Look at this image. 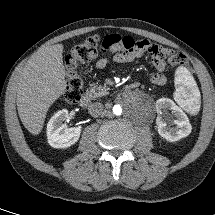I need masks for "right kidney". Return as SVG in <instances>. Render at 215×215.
Wrapping results in <instances>:
<instances>
[{"mask_svg": "<svg viewBox=\"0 0 215 215\" xmlns=\"http://www.w3.org/2000/svg\"><path fill=\"white\" fill-rule=\"evenodd\" d=\"M68 118L66 109L58 111L47 124L48 143L53 148H67L75 144L81 134L82 127L68 128L63 121Z\"/></svg>", "mask_w": 215, "mask_h": 215, "instance_id": "1", "label": "right kidney"}]
</instances>
